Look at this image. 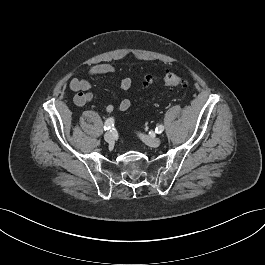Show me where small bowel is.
Returning a JSON list of instances; mask_svg holds the SVG:
<instances>
[{
    "label": "small bowel",
    "mask_w": 265,
    "mask_h": 265,
    "mask_svg": "<svg viewBox=\"0 0 265 265\" xmlns=\"http://www.w3.org/2000/svg\"><path fill=\"white\" fill-rule=\"evenodd\" d=\"M116 72V68L107 63L97 64L91 67L85 78H73L69 83V88L76 92L74 96V103L77 106H83L96 99L93 93L90 92L92 82L95 78L105 75H112ZM118 85L123 90L130 89L132 81L130 78H121L118 80ZM132 103L129 99H123L117 106L119 111H126L131 107ZM115 110L112 104L105 105V111L111 113Z\"/></svg>",
    "instance_id": "obj_1"
}]
</instances>
